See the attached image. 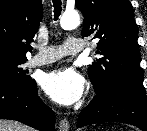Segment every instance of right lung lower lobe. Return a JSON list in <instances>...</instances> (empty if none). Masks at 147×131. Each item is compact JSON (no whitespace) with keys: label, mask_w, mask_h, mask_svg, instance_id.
Instances as JSON below:
<instances>
[{"label":"right lung lower lobe","mask_w":147,"mask_h":131,"mask_svg":"<svg viewBox=\"0 0 147 131\" xmlns=\"http://www.w3.org/2000/svg\"><path fill=\"white\" fill-rule=\"evenodd\" d=\"M0 119L22 122L41 131H54L55 115L37 94L36 82L0 84Z\"/></svg>","instance_id":"1"}]
</instances>
